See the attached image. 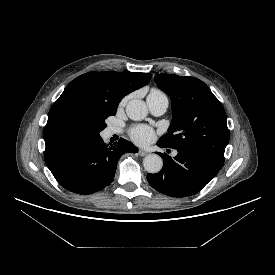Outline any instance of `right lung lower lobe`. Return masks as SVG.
Masks as SVG:
<instances>
[{
  "mask_svg": "<svg viewBox=\"0 0 275 275\" xmlns=\"http://www.w3.org/2000/svg\"><path fill=\"white\" fill-rule=\"evenodd\" d=\"M45 144L44 159L57 182L81 195L109 186L120 157L126 152H138L136 146L123 138L109 146L100 136L57 138Z\"/></svg>",
  "mask_w": 275,
  "mask_h": 275,
  "instance_id": "right-lung-lower-lobe-1",
  "label": "right lung lower lobe"
}]
</instances>
